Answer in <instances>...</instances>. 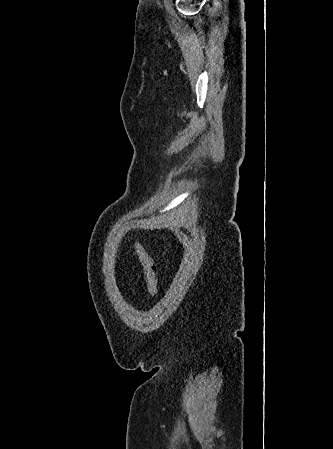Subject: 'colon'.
Wrapping results in <instances>:
<instances>
[{
	"instance_id": "5ec220e1",
	"label": "colon",
	"mask_w": 333,
	"mask_h": 449,
	"mask_svg": "<svg viewBox=\"0 0 333 449\" xmlns=\"http://www.w3.org/2000/svg\"><path fill=\"white\" fill-rule=\"evenodd\" d=\"M133 251L143 267L147 291L149 295L155 296L158 292V265L141 244L134 243Z\"/></svg>"
}]
</instances>
